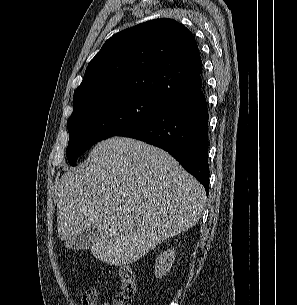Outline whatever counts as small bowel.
Listing matches in <instances>:
<instances>
[{"label": "small bowel", "mask_w": 297, "mask_h": 305, "mask_svg": "<svg viewBox=\"0 0 297 305\" xmlns=\"http://www.w3.org/2000/svg\"><path fill=\"white\" fill-rule=\"evenodd\" d=\"M99 293L94 290L87 291L82 296V305H97ZM101 305H112L111 301H106Z\"/></svg>", "instance_id": "c3829d8e"}]
</instances>
